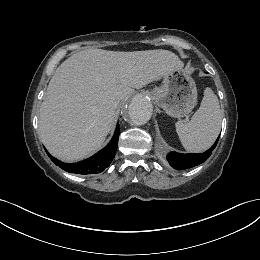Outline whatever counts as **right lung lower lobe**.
Wrapping results in <instances>:
<instances>
[{
	"label": "right lung lower lobe",
	"mask_w": 260,
	"mask_h": 260,
	"mask_svg": "<svg viewBox=\"0 0 260 260\" xmlns=\"http://www.w3.org/2000/svg\"><path fill=\"white\" fill-rule=\"evenodd\" d=\"M119 132V124H117L115 133L106 147H104L102 150H100L92 157L77 163H63L61 161H58L57 159H54L47 152V150L46 153L55 165H58L67 172L84 175L100 173L110 165V163L115 157L118 145Z\"/></svg>",
	"instance_id": "1"
}]
</instances>
